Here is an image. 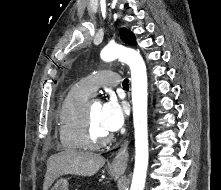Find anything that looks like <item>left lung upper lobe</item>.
Masks as SVG:
<instances>
[{
	"instance_id": "obj_1",
	"label": "left lung upper lobe",
	"mask_w": 221,
	"mask_h": 190,
	"mask_svg": "<svg viewBox=\"0 0 221 190\" xmlns=\"http://www.w3.org/2000/svg\"><path fill=\"white\" fill-rule=\"evenodd\" d=\"M121 39L127 44L136 45L135 36L131 31H128L125 28L121 29Z\"/></svg>"
}]
</instances>
